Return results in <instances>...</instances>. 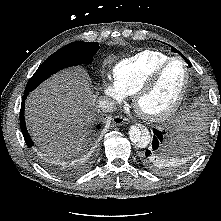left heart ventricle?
Wrapping results in <instances>:
<instances>
[{
	"instance_id": "left-heart-ventricle-1",
	"label": "left heart ventricle",
	"mask_w": 221,
	"mask_h": 221,
	"mask_svg": "<svg viewBox=\"0 0 221 221\" xmlns=\"http://www.w3.org/2000/svg\"><path fill=\"white\" fill-rule=\"evenodd\" d=\"M184 82V66L180 61H175L166 69L155 88L142 99L141 109L154 113L168 108L179 96Z\"/></svg>"
}]
</instances>
